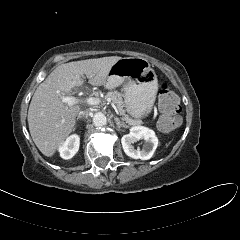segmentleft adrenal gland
Wrapping results in <instances>:
<instances>
[{
    "label": "left adrenal gland",
    "mask_w": 240,
    "mask_h": 240,
    "mask_svg": "<svg viewBox=\"0 0 240 240\" xmlns=\"http://www.w3.org/2000/svg\"><path fill=\"white\" fill-rule=\"evenodd\" d=\"M114 119L116 121L118 129H120L121 127H123V128H128L129 127L123 121H120V119L118 117H115Z\"/></svg>",
    "instance_id": "a2214340"
}]
</instances>
